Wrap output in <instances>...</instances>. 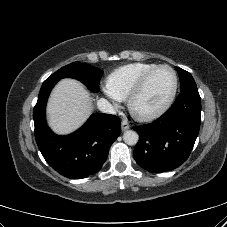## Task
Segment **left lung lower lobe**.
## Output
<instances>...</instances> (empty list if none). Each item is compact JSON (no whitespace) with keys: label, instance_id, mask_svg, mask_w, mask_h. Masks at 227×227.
I'll use <instances>...</instances> for the list:
<instances>
[{"label":"left lung lower lobe","instance_id":"0a47b994","mask_svg":"<svg viewBox=\"0 0 227 227\" xmlns=\"http://www.w3.org/2000/svg\"><path fill=\"white\" fill-rule=\"evenodd\" d=\"M201 98L196 85L180 90L171 108L153 123L136 126L139 135L133 156L145 170L171 171L190 155L199 133Z\"/></svg>","mask_w":227,"mask_h":227}]
</instances>
